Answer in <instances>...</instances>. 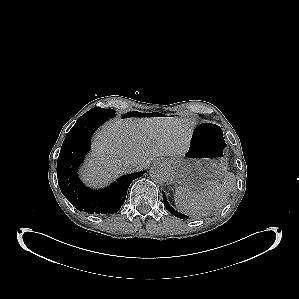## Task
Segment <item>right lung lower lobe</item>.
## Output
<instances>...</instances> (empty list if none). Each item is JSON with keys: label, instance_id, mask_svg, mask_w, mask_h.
Segmentation results:
<instances>
[{"label": "right lung lower lobe", "instance_id": "right-lung-lower-lobe-1", "mask_svg": "<svg viewBox=\"0 0 299 299\" xmlns=\"http://www.w3.org/2000/svg\"><path fill=\"white\" fill-rule=\"evenodd\" d=\"M106 120L91 118L77 121L66 135L57 161V178L61 192L76 209L90 214L118 212L125 202L131 182L145 172L124 175L108 188L98 191L85 187L78 179L77 168L90 149L91 136Z\"/></svg>", "mask_w": 299, "mask_h": 299}]
</instances>
